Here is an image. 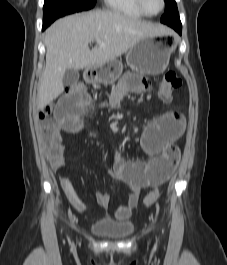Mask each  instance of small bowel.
<instances>
[{"mask_svg": "<svg viewBox=\"0 0 227 265\" xmlns=\"http://www.w3.org/2000/svg\"><path fill=\"white\" fill-rule=\"evenodd\" d=\"M148 88L149 82L140 77L138 72L127 73L113 90L110 102L113 106L118 107L126 94H140ZM62 95L60 99H57V105H55L54 116H57V124L51 128L45 144V153L55 171L63 168L66 164L62 132H81L84 128L83 113L89 104H95V99H90V96H87L84 87H67V91H63ZM183 131V116L177 112H165L157 116L144 129L140 140L141 150L152 157L149 161H129L125 160L120 153L115 154L113 166L108 175L124 182L130 192L127 201L116 208L115 219L106 217L103 222H126L138 203L142 189L156 187L169 177H164L163 171L156 162L158 157L155 156L162 155L169 148L175 147L174 143ZM89 135L94 136V133H89ZM59 183L73 207L79 212H85L86 206L79 198L72 182L61 176ZM95 198L102 208L109 207L111 200L109 193L97 191Z\"/></svg>", "mask_w": 227, "mask_h": 265, "instance_id": "1", "label": "small bowel"}]
</instances>
